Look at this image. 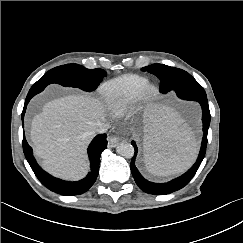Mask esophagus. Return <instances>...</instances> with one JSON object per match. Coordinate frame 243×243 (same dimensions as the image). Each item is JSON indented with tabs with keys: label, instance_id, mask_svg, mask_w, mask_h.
I'll return each mask as SVG.
<instances>
[{
	"label": "esophagus",
	"instance_id": "esophagus-1",
	"mask_svg": "<svg viewBox=\"0 0 243 243\" xmlns=\"http://www.w3.org/2000/svg\"><path fill=\"white\" fill-rule=\"evenodd\" d=\"M121 141H123V138L122 137H119V136H111L109 138V146L111 148H114L116 147Z\"/></svg>",
	"mask_w": 243,
	"mask_h": 243
}]
</instances>
